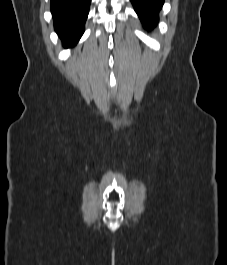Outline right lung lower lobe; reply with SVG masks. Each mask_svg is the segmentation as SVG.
<instances>
[{"label":"right lung lower lobe","instance_id":"obj_1","mask_svg":"<svg viewBox=\"0 0 227 265\" xmlns=\"http://www.w3.org/2000/svg\"><path fill=\"white\" fill-rule=\"evenodd\" d=\"M91 0H51L54 28L64 47L74 46L84 32Z\"/></svg>","mask_w":227,"mask_h":265}]
</instances>
